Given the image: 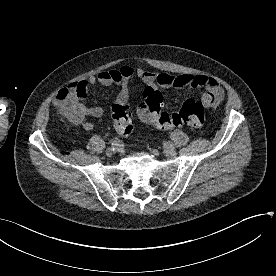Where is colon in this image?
<instances>
[{"instance_id": "5ec220e1", "label": "colon", "mask_w": 276, "mask_h": 276, "mask_svg": "<svg viewBox=\"0 0 276 276\" xmlns=\"http://www.w3.org/2000/svg\"><path fill=\"white\" fill-rule=\"evenodd\" d=\"M82 93V88L76 84H72L59 91L57 101L59 102L60 112L67 119L75 118L78 115V110L73 105L72 100L75 97L81 96ZM162 105V94L153 86H146L139 104V114L147 118L157 128L171 129L189 126L199 129L204 124L205 105L201 101L187 100L180 110L173 113L164 112ZM111 113L116 132L121 136H129L133 131V125L128 106L126 104H113Z\"/></svg>"}]
</instances>
